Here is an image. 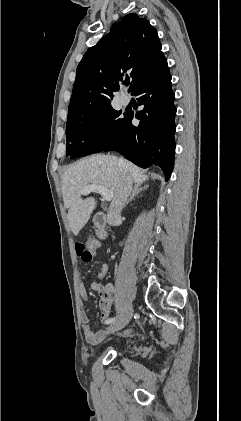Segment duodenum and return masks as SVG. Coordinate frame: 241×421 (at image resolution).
<instances>
[{
    "instance_id": "obj_1",
    "label": "duodenum",
    "mask_w": 241,
    "mask_h": 421,
    "mask_svg": "<svg viewBox=\"0 0 241 421\" xmlns=\"http://www.w3.org/2000/svg\"><path fill=\"white\" fill-rule=\"evenodd\" d=\"M94 223L97 227V233L100 238L106 237L105 226L107 224V217L103 212H98L94 215Z\"/></svg>"
}]
</instances>
